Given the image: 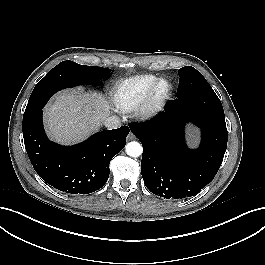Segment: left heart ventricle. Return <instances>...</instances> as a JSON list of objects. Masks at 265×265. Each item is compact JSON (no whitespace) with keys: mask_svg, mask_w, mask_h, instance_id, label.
Listing matches in <instances>:
<instances>
[{"mask_svg":"<svg viewBox=\"0 0 265 265\" xmlns=\"http://www.w3.org/2000/svg\"><path fill=\"white\" fill-rule=\"evenodd\" d=\"M166 85L165 84H162L161 87H160V90H163L165 89Z\"/></svg>","mask_w":265,"mask_h":265,"instance_id":"b2bd125f","label":"left heart ventricle"}]
</instances>
